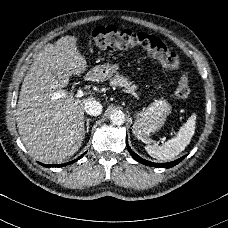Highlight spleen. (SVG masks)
Masks as SVG:
<instances>
[{"label": "spleen", "mask_w": 228, "mask_h": 228, "mask_svg": "<svg viewBox=\"0 0 228 228\" xmlns=\"http://www.w3.org/2000/svg\"><path fill=\"white\" fill-rule=\"evenodd\" d=\"M195 132V116H191L188 121L182 125L177 135L158 146L148 144L145 146L147 153L159 160L170 161L179 155L189 144Z\"/></svg>", "instance_id": "obj_1"}]
</instances>
